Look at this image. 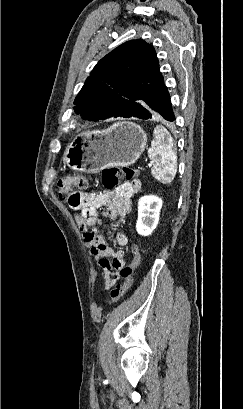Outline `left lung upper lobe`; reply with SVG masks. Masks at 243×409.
<instances>
[{
  "instance_id": "1",
  "label": "left lung upper lobe",
  "mask_w": 243,
  "mask_h": 409,
  "mask_svg": "<svg viewBox=\"0 0 243 409\" xmlns=\"http://www.w3.org/2000/svg\"><path fill=\"white\" fill-rule=\"evenodd\" d=\"M162 81L154 48L141 39L131 40L97 63L73 109L92 121L111 112L121 116L126 105L138 102Z\"/></svg>"
}]
</instances>
